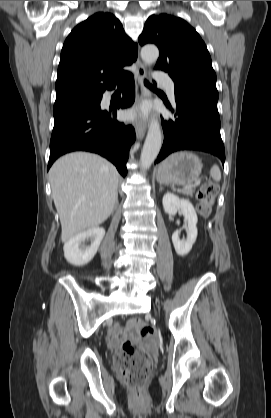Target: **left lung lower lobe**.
<instances>
[{
  "instance_id": "0a47b994",
  "label": "left lung lower lobe",
  "mask_w": 271,
  "mask_h": 418,
  "mask_svg": "<svg viewBox=\"0 0 271 418\" xmlns=\"http://www.w3.org/2000/svg\"><path fill=\"white\" fill-rule=\"evenodd\" d=\"M175 101V119H162L164 142L155 163L176 151L198 150L216 155L224 165L225 150L220 135L218 97L192 88L175 86Z\"/></svg>"
}]
</instances>
